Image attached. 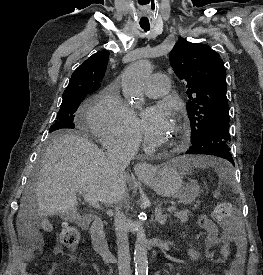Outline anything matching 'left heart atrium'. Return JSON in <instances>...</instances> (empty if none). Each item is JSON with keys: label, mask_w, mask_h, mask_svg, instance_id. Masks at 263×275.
I'll use <instances>...</instances> for the list:
<instances>
[{"label": "left heart atrium", "mask_w": 263, "mask_h": 275, "mask_svg": "<svg viewBox=\"0 0 263 275\" xmlns=\"http://www.w3.org/2000/svg\"><path fill=\"white\" fill-rule=\"evenodd\" d=\"M170 124L171 117L169 111L164 106H155L143 113L140 122V131L148 143L158 144Z\"/></svg>", "instance_id": "1"}]
</instances>
